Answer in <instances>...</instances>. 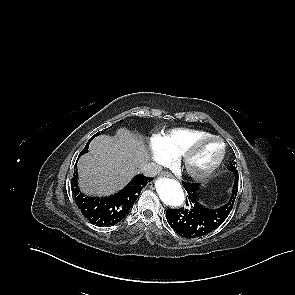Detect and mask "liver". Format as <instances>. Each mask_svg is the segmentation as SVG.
<instances>
[{
  "instance_id": "1",
  "label": "liver",
  "mask_w": 295,
  "mask_h": 295,
  "mask_svg": "<svg viewBox=\"0 0 295 295\" xmlns=\"http://www.w3.org/2000/svg\"><path fill=\"white\" fill-rule=\"evenodd\" d=\"M141 138L125 128L115 137L100 135L89 145V153L78 162L79 184L89 195H109L123 188L148 162Z\"/></svg>"
}]
</instances>
